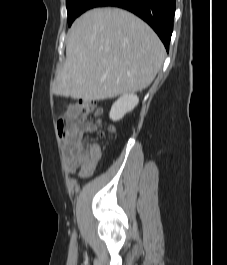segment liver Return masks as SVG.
I'll return each mask as SVG.
<instances>
[{
  "label": "liver",
  "instance_id": "1",
  "mask_svg": "<svg viewBox=\"0 0 227 265\" xmlns=\"http://www.w3.org/2000/svg\"><path fill=\"white\" fill-rule=\"evenodd\" d=\"M164 58L162 42L144 21L118 8L93 9L68 32L54 92L84 101L135 93L152 83Z\"/></svg>",
  "mask_w": 227,
  "mask_h": 265
}]
</instances>
